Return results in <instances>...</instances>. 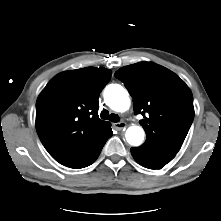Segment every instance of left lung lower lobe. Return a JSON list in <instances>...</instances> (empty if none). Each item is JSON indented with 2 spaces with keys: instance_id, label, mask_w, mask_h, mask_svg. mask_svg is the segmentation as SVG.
<instances>
[{
  "instance_id": "obj_1",
  "label": "left lung lower lobe",
  "mask_w": 221,
  "mask_h": 221,
  "mask_svg": "<svg viewBox=\"0 0 221 221\" xmlns=\"http://www.w3.org/2000/svg\"><path fill=\"white\" fill-rule=\"evenodd\" d=\"M131 154L138 164L149 169H161L176 155L146 141L139 147L131 148Z\"/></svg>"
}]
</instances>
